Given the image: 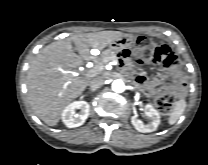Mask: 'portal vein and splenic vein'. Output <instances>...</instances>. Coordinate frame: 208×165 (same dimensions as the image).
I'll return each instance as SVG.
<instances>
[{
  "mask_svg": "<svg viewBox=\"0 0 208 165\" xmlns=\"http://www.w3.org/2000/svg\"><path fill=\"white\" fill-rule=\"evenodd\" d=\"M63 71V70H62ZM64 73H65V71H63ZM99 73V69H97V68H94V69H91V70H89L86 74H85V76L86 77H92V76H94V75H96V74H98ZM75 76H76V73H73Z\"/></svg>",
  "mask_w": 208,
  "mask_h": 165,
  "instance_id": "1",
  "label": "portal vein and splenic vein"
}]
</instances>
